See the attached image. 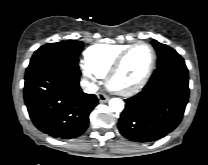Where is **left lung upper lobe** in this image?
Segmentation results:
<instances>
[{
  "instance_id": "left-lung-upper-lobe-1",
  "label": "left lung upper lobe",
  "mask_w": 208,
  "mask_h": 165,
  "mask_svg": "<svg viewBox=\"0 0 208 165\" xmlns=\"http://www.w3.org/2000/svg\"><path fill=\"white\" fill-rule=\"evenodd\" d=\"M152 45L158 54V65L172 57L178 56V53L174 49L156 40L152 41Z\"/></svg>"
}]
</instances>
